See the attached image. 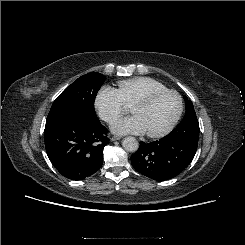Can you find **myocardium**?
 Wrapping results in <instances>:
<instances>
[{"label": "myocardium", "instance_id": "f54148a6", "mask_svg": "<svg viewBox=\"0 0 245 245\" xmlns=\"http://www.w3.org/2000/svg\"><path fill=\"white\" fill-rule=\"evenodd\" d=\"M165 94H174L176 95V97L178 98V110L174 116V118L172 119V121L162 130H159L157 132H146V135L150 138H160L163 137L167 134H169L178 124L182 114H183V110H184V101L183 98L181 96V94L174 90V89H164V90H160V91H156V92H152L146 95H143L139 98H137L133 103V105L136 104H149L151 102H153L155 99H157L158 97L165 95Z\"/></svg>", "mask_w": 245, "mask_h": 245}]
</instances>
